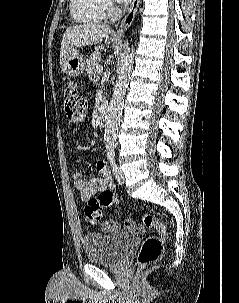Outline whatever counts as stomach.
<instances>
[{"instance_id": "1", "label": "stomach", "mask_w": 239, "mask_h": 303, "mask_svg": "<svg viewBox=\"0 0 239 303\" xmlns=\"http://www.w3.org/2000/svg\"><path fill=\"white\" fill-rule=\"evenodd\" d=\"M61 65L62 69L72 77L80 76L84 71L83 56L76 49L65 55Z\"/></svg>"}]
</instances>
